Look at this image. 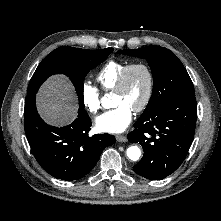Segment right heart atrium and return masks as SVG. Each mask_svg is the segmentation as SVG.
I'll list each match as a JSON object with an SVG mask.
<instances>
[{"label":"right heart atrium","mask_w":221,"mask_h":221,"mask_svg":"<svg viewBox=\"0 0 221 221\" xmlns=\"http://www.w3.org/2000/svg\"><path fill=\"white\" fill-rule=\"evenodd\" d=\"M81 100L87 111L96 113L101 107V96L97 87L90 82H84L81 86Z\"/></svg>","instance_id":"1"}]
</instances>
